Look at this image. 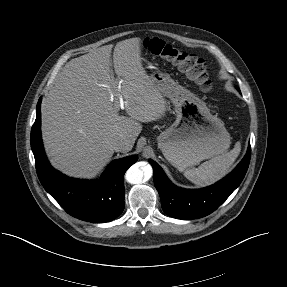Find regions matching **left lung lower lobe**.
<instances>
[{
  "mask_svg": "<svg viewBox=\"0 0 287 287\" xmlns=\"http://www.w3.org/2000/svg\"><path fill=\"white\" fill-rule=\"evenodd\" d=\"M251 147L237 167L225 178L201 189H183L172 184L162 168L149 160L154 169V184L166 214L177 219H197L216 210L240 185L250 162Z\"/></svg>",
  "mask_w": 287,
  "mask_h": 287,
  "instance_id": "0a47b994",
  "label": "left lung lower lobe"
}]
</instances>
